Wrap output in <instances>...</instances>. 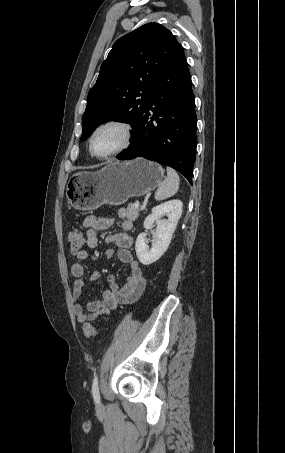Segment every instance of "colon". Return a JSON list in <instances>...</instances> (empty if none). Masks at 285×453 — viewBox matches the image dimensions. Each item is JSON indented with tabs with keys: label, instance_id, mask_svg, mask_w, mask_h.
I'll list each match as a JSON object with an SVG mask.
<instances>
[{
	"label": "colon",
	"instance_id": "colon-1",
	"mask_svg": "<svg viewBox=\"0 0 285 453\" xmlns=\"http://www.w3.org/2000/svg\"><path fill=\"white\" fill-rule=\"evenodd\" d=\"M68 241L70 245V252L73 255H77L84 250L83 247L85 245L86 238L81 230L76 228L70 231L68 234ZM83 335L87 342H92L96 336V328L93 325L84 324Z\"/></svg>",
	"mask_w": 285,
	"mask_h": 453
}]
</instances>
